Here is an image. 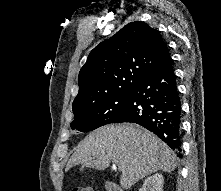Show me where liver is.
<instances>
[{"label": "liver", "mask_w": 221, "mask_h": 191, "mask_svg": "<svg viewBox=\"0 0 221 191\" xmlns=\"http://www.w3.org/2000/svg\"><path fill=\"white\" fill-rule=\"evenodd\" d=\"M122 172L120 184L130 188L151 173L173 171L174 152L156 135L135 124L100 127L87 135L75 148L68 168L82 164L103 170L110 162Z\"/></svg>", "instance_id": "1"}]
</instances>
